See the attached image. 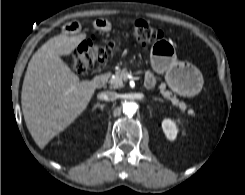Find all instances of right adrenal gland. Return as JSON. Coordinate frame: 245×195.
Listing matches in <instances>:
<instances>
[{"label":"right adrenal gland","mask_w":245,"mask_h":195,"mask_svg":"<svg viewBox=\"0 0 245 195\" xmlns=\"http://www.w3.org/2000/svg\"><path fill=\"white\" fill-rule=\"evenodd\" d=\"M97 107H99L101 110L104 109L105 105L104 104H100V103H97L94 107V109H96Z\"/></svg>","instance_id":"right-adrenal-gland-1"}]
</instances>
